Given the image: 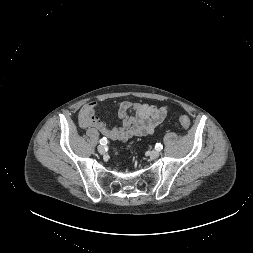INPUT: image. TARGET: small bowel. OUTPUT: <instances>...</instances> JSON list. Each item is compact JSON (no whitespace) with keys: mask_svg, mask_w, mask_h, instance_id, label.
<instances>
[{"mask_svg":"<svg viewBox=\"0 0 253 253\" xmlns=\"http://www.w3.org/2000/svg\"><path fill=\"white\" fill-rule=\"evenodd\" d=\"M98 108L97 101H91L81 108L78 115L80 127L95 128L108 139L121 142L153 134L163 124L168 111L166 106L123 101L117 105V113L122 124L110 128L106 122L97 117Z\"/></svg>","mask_w":253,"mask_h":253,"instance_id":"small-bowel-1","label":"small bowel"}]
</instances>
